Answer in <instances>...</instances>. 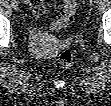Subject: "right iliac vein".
Here are the masks:
<instances>
[{"label": "right iliac vein", "instance_id": "obj_1", "mask_svg": "<svg viewBox=\"0 0 111 106\" xmlns=\"http://www.w3.org/2000/svg\"><path fill=\"white\" fill-rule=\"evenodd\" d=\"M11 6L15 10L18 9V3L15 0L11 2Z\"/></svg>", "mask_w": 111, "mask_h": 106}]
</instances>
